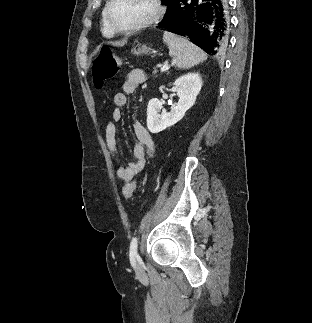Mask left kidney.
<instances>
[{
  "label": "left kidney",
  "mask_w": 312,
  "mask_h": 323,
  "mask_svg": "<svg viewBox=\"0 0 312 323\" xmlns=\"http://www.w3.org/2000/svg\"><path fill=\"white\" fill-rule=\"evenodd\" d=\"M173 86L176 88L179 98L178 104L172 106L170 112H164L163 104L160 100H149L147 106V128L152 134H159L169 126H174L185 116V112L195 104L196 96L202 88V78L200 74H186L181 76ZM162 114H159L161 112Z\"/></svg>",
  "instance_id": "5707ae66"
}]
</instances>
